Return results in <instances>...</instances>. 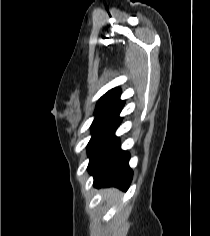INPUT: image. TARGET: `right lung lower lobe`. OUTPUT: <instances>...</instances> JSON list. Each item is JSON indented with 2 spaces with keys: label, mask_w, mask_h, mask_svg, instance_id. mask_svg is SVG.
<instances>
[{
  "label": "right lung lower lobe",
  "mask_w": 210,
  "mask_h": 236,
  "mask_svg": "<svg viewBox=\"0 0 210 236\" xmlns=\"http://www.w3.org/2000/svg\"><path fill=\"white\" fill-rule=\"evenodd\" d=\"M122 107L105 120L94 132L88 144V170L94 177V186H115L127 190L132 180L129 154L120 149L114 132L121 122Z\"/></svg>",
  "instance_id": "right-lung-lower-lobe-1"
}]
</instances>
